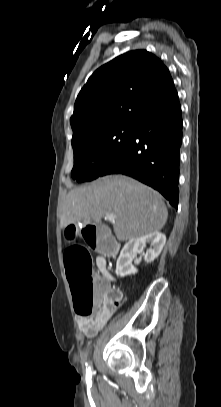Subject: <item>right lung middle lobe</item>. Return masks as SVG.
<instances>
[{
  "instance_id": "right-lung-middle-lobe-1",
  "label": "right lung middle lobe",
  "mask_w": 221,
  "mask_h": 407,
  "mask_svg": "<svg viewBox=\"0 0 221 407\" xmlns=\"http://www.w3.org/2000/svg\"><path fill=\"white\" fill-rule=\"evenodd\" d=\"M135 124L109 127L72 143L74 167L72 178L78 182L91 181L101 176L130 142Z\"/></svg>"
}]
</instances>
